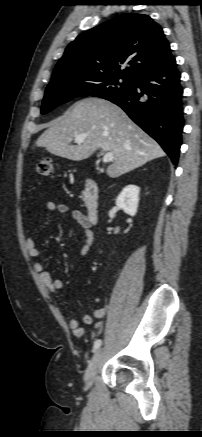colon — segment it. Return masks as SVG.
<instances>
[{
    "label": "colon",
    "mask_w": 202,
    "mask_h": 437,
    "mask_svg": "<svg viewBox=\"0 0 202 437\" xmlns=\"http://www.w3.org/2000/svg\"><path fill=\"white\" fill-rule=\"evenodd\" d=\"M37 173L42 176H50L53 173V160L50 157L42 158L36 167Z\"/></svg>",
    "instance_id": "colon-1"
}]
</instances>
